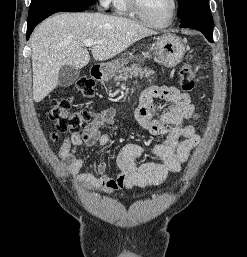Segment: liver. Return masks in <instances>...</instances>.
<instances>
[{
  "mask_svg": "<svg viewBox=\"0 0 247 257\" xmlns=\"http://www.w3.org/2000/svg\"><path fill=\"white\" fill-rule=\"evenodd\" d=\"M155 34L131 19L102 13H61L46 19L31 37L34 101L40 102L57 87L63 65L80 69L89 63L85 40L102 42L91 51L96 61H105Z\"/></svg>",
  "mask_w": 247,
  "mask_h": 257,
  "instance_id": "obj_1",
  "label": "liver"
}]
</instances>
